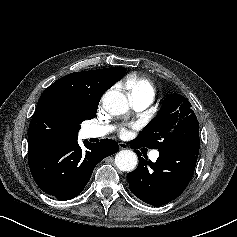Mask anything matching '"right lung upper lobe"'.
Here are the masks:
<instances>
[{
	"mask_svg": "<svg viewBox=\"0 0 237 237\" xmlns=\"http://www.w3.org/2000/svg\"><path fill=\"white\" fill-rule=\"evenodd\" d=\"M106 68L68 74L40 96L28 129V150L46 142L78 137L82 110L98 107L102 94L125 73Z\"/></svg>",
	"mask_w": 237,
	"mask_h": 237,
	"instance_id": "right-lung-upper-lobe-1",
	"label": "right lung upper lobe"
}]
</instances>
